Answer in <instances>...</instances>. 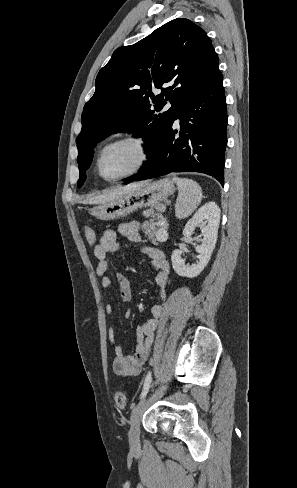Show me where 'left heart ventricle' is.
<instances>
[{"label":"left heart ventricle","mask_w":297,"mask_h":488,"mask_svg":"<svg viewBox=\"0 0 297 488\" xmlns=\"http://www.w3.org/2000/svg\"><path fill=\"white\" fill-rule=\"evenodd\" d=\"M141 157L139 147L124 142L109 148L102 159V171L106 177H115L134 167Z\"/></svg>","instance_id":"1"}]
</instances>
